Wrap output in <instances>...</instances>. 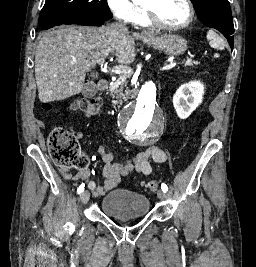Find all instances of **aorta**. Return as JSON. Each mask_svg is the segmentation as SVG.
Returning <instances> with one entry per match:
<instances>
[{"label": "aorta", "mask_w": 256, "mask_h": 267, "mask_svg": "<svg viewBox=\"0 0 256 267\" xmlns=\"http://www.w3.org/2000/svg\"><path fill=\"white\" fill-rule=\"evenodd\" d=\"M157 92L152 81H145V87L138 101H131L125 108L124 117H118L119 127H161L165 117H161L162 108L154 104ZM132 143H160L159 128H122Z\"/></svg>", "instance_id": "762f6f07"}]
</instances>
